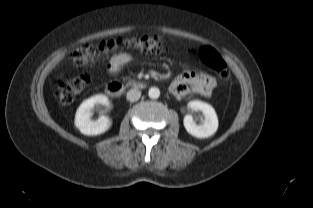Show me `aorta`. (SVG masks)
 <instances>
[{
    "mask_svg": "<svg viewBox=\"0 0 313 208\" xmlns=\"http://www.w3.org/2000/svg\"><path fill=\"white\" fill-rule=\"evenodd\" d=\"M148 96L151 99H157L160 96V90L157 87H151L148 91Z\"/></svg>",
    "mask_w": 313,
    "mask_h": 208,
    "instance_id": "obj_1",
    "label": "aorta"
}]
</instances>
